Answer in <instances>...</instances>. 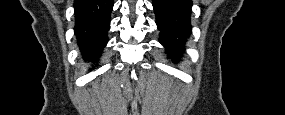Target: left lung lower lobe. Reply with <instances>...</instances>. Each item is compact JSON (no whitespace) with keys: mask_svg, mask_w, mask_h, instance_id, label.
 <instances>
[{"mask_svg":"<svg viewBox=\"0 0 285 115\" xmlns=\"http://www.w3.org/2000/svg\"><path fill=\"white\" fill-rule=\"evenodd\" d=\"M190 0H154L156 24L160 30V43L166 48L171 59L181 58L185 50V42L191 34Z\"/></svg>","mask_w":285,"mask_h":115,"instance_id":"1","label":"left lung lower lobe"}]
</instances>
